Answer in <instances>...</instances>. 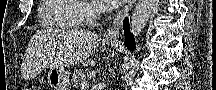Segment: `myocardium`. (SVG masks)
I'll return each instance as SVG.
<instances>
[{"label": "myocardium", "mask_w": 216, "mask_h": 90, "mask_svg": "<svg viewBox=\"0 0 216 90\" xmlns=\"http://www.w3.org/2000/svg\"><path fill=\"white\" fill-rule=\"evenodd\" d=\"M87 2H94V1H87ZM94 8L97 9V10H101V9H102V8L99 7L98 5H95Z\"/></svg>", "instance_id": "1"}]
</instances>
